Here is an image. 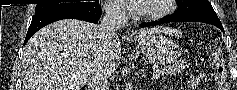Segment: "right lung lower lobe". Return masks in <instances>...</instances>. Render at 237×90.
Returning <instances> with one entry per match:
<instances>
[{
	"instance_id": "1",
	"label": "right lung lower lobe",
	"mask_w": 237,
	"mask_h": 90,
	"mask_svg": "<svg viewBox=\"0 0 237 90\" xmlns=\"http://www.w3.org/2000/svg\"><path fill=\"white\" fill-rule=\"evenodd\" d=\"M100 17H101V7L99 3H96L91 6H83V5L68 6L41 14H35L32 17V21L26 34L24 44L39 29L54 21L71 18V19L84 20L91 23H98Z\"/></svg>"
}]
</instances>
